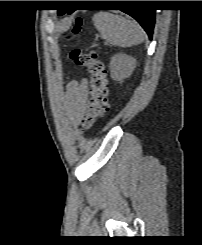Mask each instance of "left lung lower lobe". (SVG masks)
I'll return each instance as SVG.
<instances>
[{
  "label": "left lung lower lobe",
  "mask_w": 202,
  "mask_h": 245,
  "mask_svg": "<svg viewBox=\"0 0 202 245\" xmlns=\"http://www.w3.org/2000/svg\"><path fill=\"white\" fill-rule=\"evenodd\" d=\"M142 2L143 1H129L128 4L136 7L121 11L136 19L144 28L150 39H152L153 28L155 25V10L139 8V6L143 4ZM73 11L74 10H58V15H63L66 12H68V14H71Z\"/></svg>",
  "instance_id": "obj_1"
}]
</instances>
